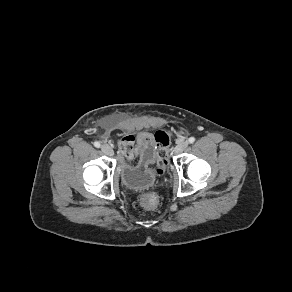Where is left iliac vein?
Returning a JSON list of instances; mask_svg holds the SVG:
<instances>
[{
  "label": "left iliac vein",
  "mask_w": 292,
  "mask_h": 292,
  "mask_svg": "<svg viewBox=\"0 0 292 292\" xmlns=\"http://www.w3.org/2000/svg\"><path fill=\"white\" fill-rule=\"evenodd\" d=\"M187 146H188L187 141L184 140L179 141L174 150L175 154L183 152L187 148Z\"/></svg>",
  "instance_id": "obj_1"
}]
</instances>
